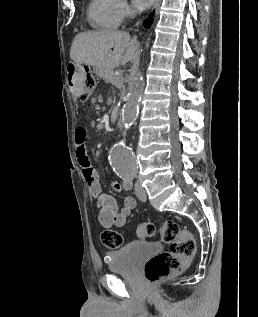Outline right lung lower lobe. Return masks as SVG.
Segmentation results:
<instances>
[{"label":"right lung lower lobe","mask_w":258,"mask_h":317,"mask_svg":"<svg viewBox=\"0 0 258 317\" xmlns=\"http://www.w3.org/2000/svg\"><path fill=\"white\" fill-rule=\"evenodd\" d=\"M152 16H153V13L150 14V16H149L150 18H149V19H146V20L144 21V26H145L146 28H149V27L151 26L152 21H153Z\"/></svg>","instance_id":"1"}]
</instances>
